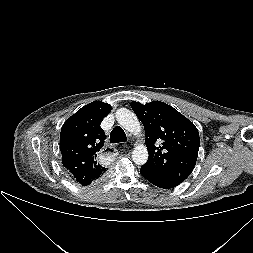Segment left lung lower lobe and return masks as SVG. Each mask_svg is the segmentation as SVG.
I'll return each instance as SVG.
<instances>
[{
    "label": "left lung lower lobe",
    "mask_w": 253,
    "mask_h": 253,
    "mask_svg": "<svg viewBox=\"0 0 253 253\" xmlns=\"http://www.w3.org/2000/svg\"><path fill=\"white\" fill-rule=\"evenodd\" d=\"M140 173L150 183H152L153 185H155L157 187L163 188V189L174 188L178 185V183L168 180L166 178H163L161 176H158V175L150 172L149 170H146L144 167H141Z\"/></svg>",
    "instance_id": "0a47b994"
}]
</instances>
